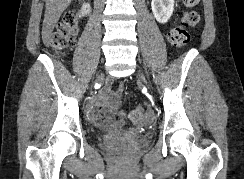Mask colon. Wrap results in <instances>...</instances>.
Instances as JSON below:
<instances>
[{
  "label": "colon",
  "mask_w": 244,
  "mask_h": 179,
  "mask_svg": "<svg viewBox=\"0 0 244 179\" xmlns=\"http://www.w3.org/2000/svg\"><path fill=\"white\" fill-rule=\"evenodd\" d=\"M187 3L181 15L179 23L174 26L169 32V39L173 46L176 48H183L190 39V30L193 29L198 21V13L193 11L197 6L195 0H182ZM76 24L63 23L58 24L51 37V46L56 51H64L70 49L75 40ZM148 107V102H139L137 108H132L129 111L131 120L139 123L143 120L144 110ZM115 116H124V111H115Z\"/></svg>",
  "instance_id": "obj_1"
}]
</instances>
